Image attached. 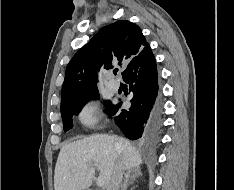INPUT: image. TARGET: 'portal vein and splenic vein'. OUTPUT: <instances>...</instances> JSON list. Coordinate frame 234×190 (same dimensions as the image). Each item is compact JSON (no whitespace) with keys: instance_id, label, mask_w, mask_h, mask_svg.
Here are the masks:
<instances>
[{"instance_id":"18ae733b","label":"portal vein and splenic vein","mask_w":234,"mask_h":190,"mask_svg":"<svg viewBox=\"0 0 234 190\" xmlns=\"http://www.w3.org/2000/svg\"><path fill=\"white\" fill-rule=\"evenodd\" d=\"M93 165H96V164H92V166H93ZM96 183H97V186L102 187L103 184H104V179H103V177H102V176H99Z\"/></svg>"}]
</instances>
